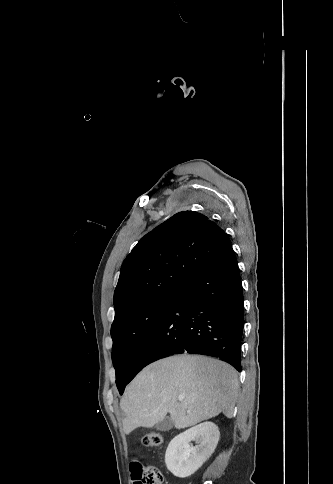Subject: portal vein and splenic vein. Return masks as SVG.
<instances>
[{
	"instance_id": "portal-vein-and-splenic-vein-1",
	"label": "portal vein and splenic vein",
	"mask_w": 333,
	"mask_h": 484,
	"mask_svg": "<svg viewBox=\"0 0 333 484\" xmlns=\"http://www.w3.org/2000/svg\"><path fill=\"white\" fill-rule=\"evenodd\" d=\"M183 399H184V397H183V396H179V397H178V400H179V401H182Z\"/></svg>"
}]
</instances>
